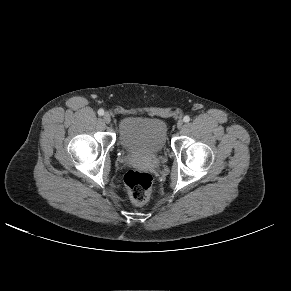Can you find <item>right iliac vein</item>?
<instances>
[{
  "instance_id": "obj_1",
  "label": "right iliac vein",
  "mask_w": 291,
  "mask_h": 291,
  "mask_svg": "<svg viewBox=\"0 0 291 291\" xmlns=\"http://www.w3.org/2000/svg\"><path fill=\"white\" fill-rule=\"evenodd\" d=\"M103 121L105 122V123H110V121H111V116H110V114L109 113H105L104 114V116H103Z\"/></svg>"
}]
</instances>
